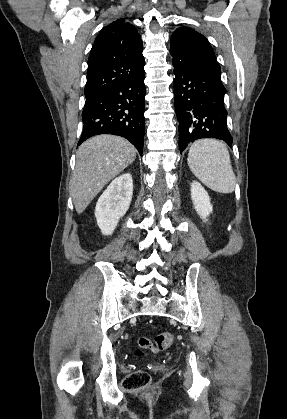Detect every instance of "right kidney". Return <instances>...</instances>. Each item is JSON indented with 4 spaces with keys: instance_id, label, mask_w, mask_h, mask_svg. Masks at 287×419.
<instances>
[{
    "instance_id": "obj_1",
    "label": "right kidney",
    "mask_w": 287,
    "mask_h": 419,
    "mask_svg": "<svg viewBox=\"0 0 287 419\" xmlns=\"http://www.w3.org/2000/svg\"><path fill=\"white\" fill-rule=\"evenodd\" d=\"M133 195V180L129 173L113 180L97 201L95 217L102 234L111 235L121 217L129 209Z\"/></svg>"
}]
</instances>
